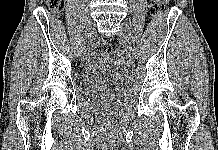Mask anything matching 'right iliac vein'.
I'll list each match as a JSON object with an SVG mask.
<instances>
[{"instance_id":"63e3f726","label":"right iliac vein","mask_w":218,"mask_h":150,"mask_svg":"<svg viewBox=\"0 0 218 150\" xmlns=\"http://www.w3.org/2000/svg\"><path fill=\"white\" fill-rule=\"evenodd\" d=\"M94 31H95V24L93 22H89L86 26V29L83 35V39H82L83 44H85L89 39L93 37Z\"/></svg>"}]
</instances>
